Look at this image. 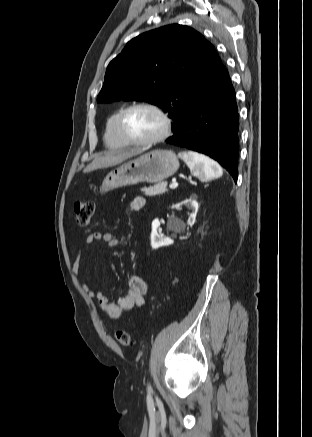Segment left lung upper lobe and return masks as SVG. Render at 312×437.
<instances>
[{"label": "left lung upper lobe", "mask_w": 312, "mask_h": 437, "mask_svg": "<svg viewBox=\"0 0 312 437\" xmlns=\"http://www.w3.org/2000/svg\"><path fill=\"white\" fill-rule=\"evenodd\" d=\"M221 67L213 45L197 31L160 27L133 38L109 63L97 101L149 102L168 113L175 129Z\"/></svg>", "instance_id": "1"}]
</instances>
